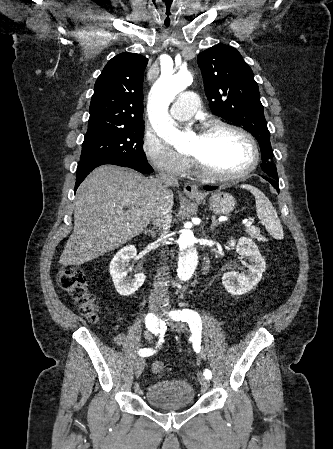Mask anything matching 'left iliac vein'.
<instances>
[{
	"mask_svg": "<svg viewBox=\"0 0 333 449\" xmlns=\"http://www.w3.org/2000/svg\"><path fill=\"white\" fill-rule=\"evenodd\" d=\"M161 315L164 318V320L167 321V324L172 329L176 330L177 332H183L185 330V327L183 325L174 323L169 319L168 312L166 309L162 310ZM198 380L204 389H207L209 387V385H210L209 380L207 378H205V376L201 372L198 373Z\"/></svg>",
	"mask_w": 333,
	"mask_h": 449,
	"instance_id": "left-iliac-vein-1",
	"label": "left iliac vein"
}]
</instances>
